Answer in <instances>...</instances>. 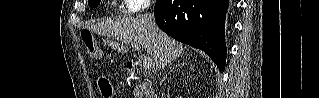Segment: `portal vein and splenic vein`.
Returning <instances> with one entry per match:
<instances>
[{"instance_id": "18ae733b", "label": "portal vein and splenic vein", "mask_w": 319, "mask_h": 98, "mask_svg": "<svg viewBox=\"0 0 319 98\" xmlns=\"http://www.w3.org/2000/svg\"><path fill=\"white\" fill-rule=\"evenodd\" d=\"M134 48L136 50H141L142 47H141L140 44L134 43ZM153 66H154V62H153L152 58L145 57L144 60H143V68L145 70H150Z\"/></svg>"}]
</instances>
